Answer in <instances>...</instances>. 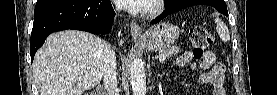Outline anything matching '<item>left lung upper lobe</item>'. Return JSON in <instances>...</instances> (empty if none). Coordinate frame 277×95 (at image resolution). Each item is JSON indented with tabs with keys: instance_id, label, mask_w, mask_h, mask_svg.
<instances>
[{
	"instance_id": "obj_1",
	"label": "left lung upper lobe",
	"mask_w": 277,
	"mask_h": 95,
	"mask_svg": "<svg viewBox=\"0 0 277 95\" xmlns=\"http://www.w3.org/2000/svg\"><path fill=\"white\" fill-rule=\"evenodd\" d=\"M177 1H179V0H167V4H166L165 7H168V6H170L171 4H173V3L177 2Z\"/></svg>"
}]
</instances>
